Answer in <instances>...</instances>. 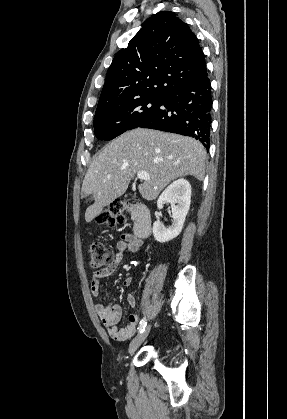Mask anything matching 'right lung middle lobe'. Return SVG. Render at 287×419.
I'll return each instance as SVG.
<instances>
[{"label": "right lung middle lobe", "instance_id": "right-lung-middle-lobe-1", "mask_svg": "<svg viewBox=\"0 0 287 419\" xmlns=\"http://www.w3.org/2000/svg\"><path fill=\"white\" fill-rule=\"evenodd\" d=\"M161 96H145L124 101L95 113L94 132L100 140H112L137 128L158 108Z\"/></svg>", "mask_w": 287, "mask_h": 419}]
</instances>
